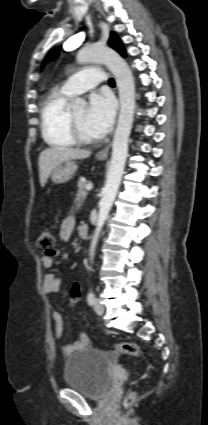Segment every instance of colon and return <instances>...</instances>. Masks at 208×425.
I'll return each instance as SVG.
<instances>
[{"mask_svg":"<svg viewBox=\"0 0 208 425\" xmlns=\"http://www.w3.org/2000/svg\"><path fill=\"white\" fill-rule=\"evenodd\" d=\"M55 246V236L50 229L41 230L37 238V247L44 251L45 254L54 253ZM81 298V287L79 284L75 283L70 289V299L73 304L77 303ZM116 351L121 353H126L135 357H140L147 359V352L133 342H120L116 345ZM136 394L130 393L125 402V408H129L135 401Z\"/></svg>","mask_w":208,"mask_h":425,"instance_id":"5ec220e1","label":"colon"}]
</instances>
